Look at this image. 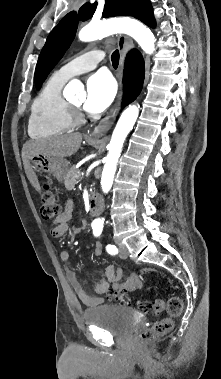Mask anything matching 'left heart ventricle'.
Wrapping results in <instances>:
<instances>
[{
  "instance_id": "left-heart-ventricle-1",
  "label": "left heart ventricle",
  "mask_w": 221,
  "mask_h": 379,
  "mask_svg": "<svg viewBox=\"0 0 221 379\" xmlns=\"http://www.w3.org/2000/svg\"><path fill=\"white\" fill-rule=\"evenodd\" d=\"M73 103L76 104V105H80L81 101L80 100H75V101H73Z\"/></svg>"
}]
</instances>
